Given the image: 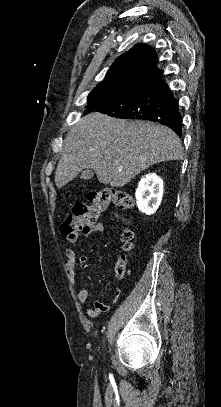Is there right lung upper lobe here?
<instances>
[{
    "label": "right lung upper lobe",
    "mask_w": 221,
    "mask_h": 407,
    "mask_svg": "<svg viewBox=\"0 0 221 407\" xmlns=\"http://www.w3.org/2000/svg\"><path fill=\"white\" fill-rule=\"evenodd\" d=\"M156 63L157 55L151 46L136 44L115 60L97 88L125 89L136 84L141 87L161 73Z\"/></svg>",
    "instance_id": "cb5924a9"
}]
</instances>
